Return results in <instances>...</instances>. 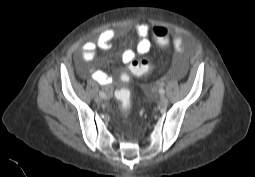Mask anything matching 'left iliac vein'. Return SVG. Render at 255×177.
<instances>
[{
    "label": "left iliac vein",
    "mask_w": 255,
    "mask_h": 177,
    "mask_svg": "<svg viewBox=\"0 0 255 177\" xmlns=\"http://www.w3.org/2000/svg\"><path fill=\"white\" fill-rule=\"evenodd\" d=\"M159 104L161 107H166L168 105V99L165 96H161Z\"/></svg>",
    "instance_id": "1"
}]
</instances>
